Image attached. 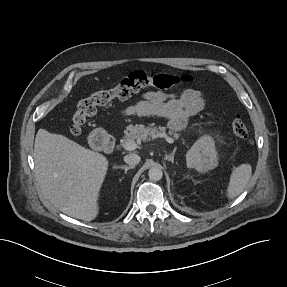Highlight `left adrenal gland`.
Masks as SVG:
<instances>
[{
    "label": "left adrenal gland",
    "instance_id": "a2214340",
    "mask_svg": "<svg viewBox=\"0 0 287 287\" xmlns=\"http://www.w3.org/2000/svg\"><path fill=\"white\" fill-rule=\"evenodd\" d=\"M176 149H177V148H174V150L172 151V153L169 154V155L165 154L164 159H165V160H168V161H171V162L173 163V162H174V155H175Z\"/></svg>",
    "mask_w": 287,
    "mask_h": 287
}]
</instances>
